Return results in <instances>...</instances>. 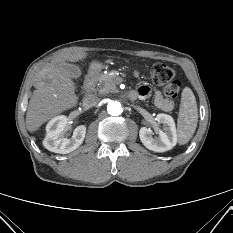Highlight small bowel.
<instances>
[{
    "label": "small bowel",
    "instance_id": "obj_1",
    "mask_svg": "<svg viewBox=\"0 0 233 233\" xmlns=\"http://www.w3.org/2000/svg\"><path fill=\"white\" fill-rule=\"evenodd\" d=\"M134 92L136 93L138 98L145 99L151 93V89L148 85L142 84ZM154 103L160 110L165 112H170L174 108V102L170 99L163 97L160 91L155 92Z\"/></svg>",
    "mask_w": 233,
    "mask_h": 233
}]
</instances>
